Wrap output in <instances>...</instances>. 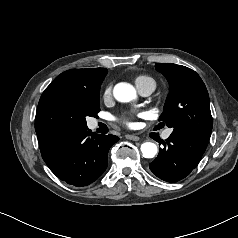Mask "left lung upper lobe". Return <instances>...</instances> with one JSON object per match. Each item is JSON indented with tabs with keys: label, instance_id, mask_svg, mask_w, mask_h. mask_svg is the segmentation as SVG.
I'll return each instance as SVG.
<instances>
[{
	"label": "left lung upper lobe",
	"instance_id": "1",
	"mask_svg": "<svg viewBox=\"0 0 238 238\" xmlns=\"http://www.w3.org/2000/svg\"><path fill=\"white\" fill-rule=\"evenodd\" d=\"M156 70L169 82L160 125L209 140L212 116L209 95L200 76L190 68L172 63H157Z\"/></svg>",
	"mask_w": 238,
	"mask_h": 238
}]
</instances>
